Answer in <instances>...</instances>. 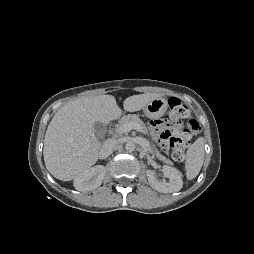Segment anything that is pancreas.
Instances as JSON below:
<instances>
[{"label":"pancreas","mask_w":254,"mask_h":254,"mask_svg":"<svg viewBox=\"0 0 254 254\" xmlns=\"http://www.w3.org/2000/svg\"><path fill=\"white\" fill-rule=\"evenodd\" d=\"M127 123H137L141 128H142V130L144 131V132H146L147 131V129H146V126H145V124L143 123V121L137 116V115H135V114H130V115H126V116H123L120 120H119V124L117 125V127H116V132L118 133V134H121V133H119V129H120V127L121 126H123V125H125V124H127ZM154 151H155V153H156V156L160 159V160H163L164 162H166V163H171V161L170 160H168V159H166L164 156H162L158 151H157V149L156 148H154Z\"/></svg>","instance_id":"obj_1"}]
</instances>
